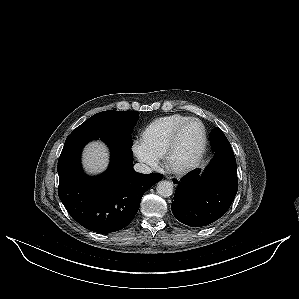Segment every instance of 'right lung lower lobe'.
<instances>
[{
  "label": "right lung lower lobe",
  "mask_w": 299,
  "mask_h": 299,
  "mask_svg": "<svg viewBox=\"0 0 299 299\" xmlns=\"http://www.w3.org/2000/svg\"><path fill=\"white\" fill-rule=\"evenodd\" d=\"M93 139L83 135L67 137L58 160V195L76 222L106 234L125 228L133 220L143 194L163 176L135 172L131 147L114 139H103L111 150L107 171L96 177L86 176L80 155L83 146Z\"/></svg>",
  "instance_id": "right-lung-lower-lobe-1"
}]
</instances>
